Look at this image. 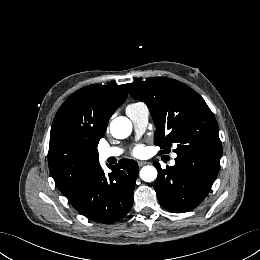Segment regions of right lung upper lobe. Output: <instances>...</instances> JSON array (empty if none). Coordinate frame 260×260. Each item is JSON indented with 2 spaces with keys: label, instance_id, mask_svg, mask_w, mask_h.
Segmentation results:
<instances>
[{
  "label": "right lung upper lobe",
  "instance_id": "obj_1",
  "mask_svg": "<svg viewBox=\"0 0 260 260\" xmlns=\"http://www.w3.org/2000/svg\"><path fill=\"white\" fill-rule=\"evenodd\" d=\"M127 95L128 84L89 85L71 94L59 108L50 133L48 164L68 199L100 166L97 145Z\"/></svg>",
  "mask_w": 260,
  "mask_h": 260
}]
</instances>
